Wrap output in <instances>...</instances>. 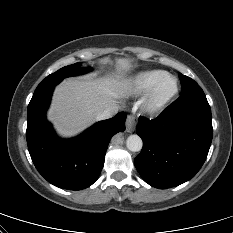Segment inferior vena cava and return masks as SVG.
<instances>
[{
  "instance_id": "602c4592",
  "label": "inferior vena cava",
  "mask_w": 233,
  "mask_h": 233,
  "mask_svg": "<svg viewBox=\"0 0 233 233\" xmlns=\"http://www.w3.org/2000/svg\"><path fill=\"white\" fill-rule=\"evenodd\" d=\"M117 112H118V107L116 105H112L109 108H107L106 110H104L102 113H99L96 116V120L100 121V120L111 118Z\"/></svg>"
}]
</instances>
